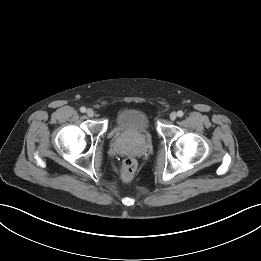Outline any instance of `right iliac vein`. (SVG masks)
<instances>
[{"label": "right iliac vein", "instance_id": "1", "mask_svg": "<svg viewBox=\"0 0 261 261\" xmlns=\"http://www.w3.org/2000/svg\"><path fill=\"white\" fill-rule=\"evenodd\" d=\"M86 113H87V115L89 117H93L94 116V111L92 109H88Z\"/></svg>", "mask_w": 261, "mask_h": 261}]
</instances>
